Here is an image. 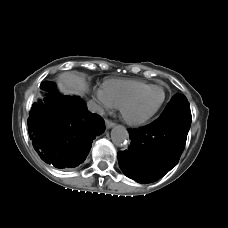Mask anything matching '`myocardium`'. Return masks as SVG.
I'll return each instance as SVG.
<instances>
[{
    "mask_svg": "<svg viewBox=\"0 0 228 228\" xmlns=\"http://www.w3.org/2000/svg\"><path fill=\"white\" fill-rule=\"evenodd\" d=\"M152 89H159L162 91V99L161 101L159 102V104L156 106V108L154 110H152L151 112H149L148 114L142 116V117H139V118H132L130 117L127 112H126V108L129 104H131L133 101H135L138 97H140L141 95H143L144 93H146L147 91L149 90H152ZM165 99H166V94H165V91L162 87L160 86H157V85H150L142 90H139L137 92H135L134 94L128 96L119 106V110H120V113L123 117V119L130 125H133V126H140V125H143L145 124L146 122H148L152 117H154L157 112L160 110V108L162 107V105L164 104L165 102Z\"/></svg>",
    "mask_w": 228,
    "mask_h": 228,
    "instance_id": "myocardium-1",
    "label": "myocardium"
}]
</instances>
